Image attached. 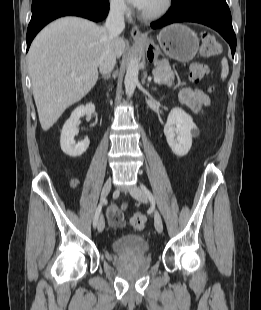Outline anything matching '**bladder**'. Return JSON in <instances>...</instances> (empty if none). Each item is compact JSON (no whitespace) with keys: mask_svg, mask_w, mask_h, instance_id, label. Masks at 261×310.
Returning <instances> with one entry per match:
<instances>
[{"mask_svg":"<svg viewBox=\"0 0 261 310\" xmlns=\"http://www.w3.org/2000/svg\"><path fill=\"white\" fill-rule=\"evenodd\" d=\"M112 251L121 256H143L149 253L150 244L141 235L127 234L113 242Z\"/></svg>","mask_w":261,"mask_h":310,"instance_id":"obj_1","label":"bladder"}]
</instances>
